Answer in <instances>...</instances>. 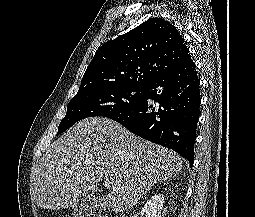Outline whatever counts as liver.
I'll list each match as a JSON object with an SVG mask.
<instances>
[{
    "instance_id": "6515ba94",
    "label": "liver",
    "mask_w": 255,
    "mask_h": 217,
    "mask_svg": "<svg viewBox=\"0 0 255 217\" xmlns=\"http://www.w3.org/2000/svg\"><path fill=\"white\" fill-rule=\"evenodd\" d=\"M182 167V158L168 148L113 120L92 117L75 124L43 154L33 170L31 197L41 209H67L93 196L105 179L115 190L100 207L123 212Z\"/></svg>"
}]
</instances>
